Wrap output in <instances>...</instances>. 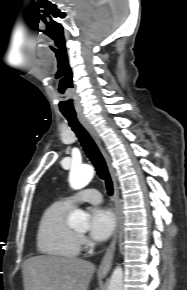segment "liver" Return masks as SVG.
Segmentation results:
<instances>
[{
    "label": "liver",
    "instance_id": "6515ba94",
    "mask_svg": "<svg viewBox=\"0 0 187 290\" xmlns=\"http://www.w3.org/2000/svg\"><path fill=\"white\" fill-rule=\"evenodd\" d=\"M95 266L76 257L38 255L23 262L24 290H87Z\"/></svg>",
    "mask_w": 187,
    "mask_h": 290
}]
</instances>
